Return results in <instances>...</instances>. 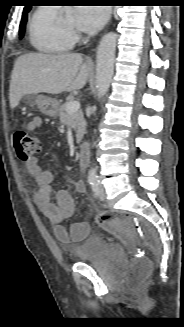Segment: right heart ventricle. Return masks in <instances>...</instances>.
<instances>
[{
	"label": "right heart ventricle",
	"instance_id": "1",
	"mask_svg": "<svg viewBox=\"0 0 184 327\" xmlns=\"http://www.w3.org/2000/svg\"><path fill=\"white\" fill-rule=\"evenodd\" d=\"M56 7H38L28 23V36L32 46L44 53H62L72 49L75 39L62 29L57 20Z\"/></svg>",
	"mask_w": 184,
	"mask_h": 327
}]
</instances>
